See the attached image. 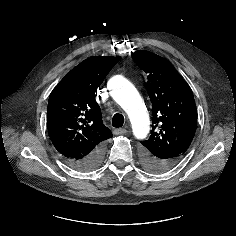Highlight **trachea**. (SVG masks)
<instances>
[{
    "mask_svg": "<svg viewBox=\"0 0 236 236\" xmlns=\"http://www.w3.org/2000/svg\"><path fill=\"white\" fill-rule=\"evenodd\" d=\"M124 117L122 114L116 113L112 118V126L115 128H119L123 126Z\"/></svg>",
    "mask_w": 236,
    "mask_h": 236,
    "instance_id": "1",
    "label": "trachea"
}]
</instances>
